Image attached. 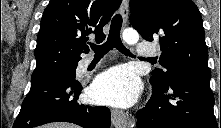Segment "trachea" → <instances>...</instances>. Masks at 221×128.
Segmentation results:
<instances>
[{
    "label": "trachea",
    "instance_id": "3493384b",
    "mask_svg": "<svg viewBox=\"0 0 221 128\" xmlns=\"http://www.w3.org/2000/svg\"><path fill=\"white\" fill-rule=\"evenodd\" d=\"M122 27V17L119 14H116L110 26L109 35L107 41L103 44L97 42V44H91L90 47L95 53V57L104 56L107 52L116 48L122 54L133 56L132 53L123 45L120 38V31Z\"/></svg>",
    "mask_w": 221,
    "mask_h": 128
}]
</instances>
